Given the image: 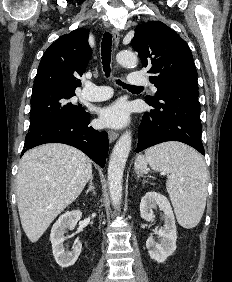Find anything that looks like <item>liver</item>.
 <instances>
[{
	"instance_id": "liver-1",
	"label": "liver",
	"mask_w": 232,
	"mask_h": 282,
	"mask_svg": "<svg viewBox=\"0 0 232 282\" xmlns=\"http://www.w3.org/2000/svg\"><path fill=\"white\" fill-rule=\"evenodd\" d=\"M91 176V160L65 144H44L24 154L16 191L22 228L31 242L80 195Z\"/></svg>"
}]
</instances>
